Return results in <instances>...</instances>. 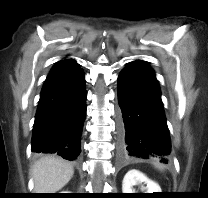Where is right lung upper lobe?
<instances>
[{"label":"right lung upper lobe","mask_w":208,"mask_h":198,"mask_svg":"<svg viewBox=\"0 0 208 198\" xmlns=\"http://www.w3.org/2000/svg\"><path fill=\"white\" fill-rule=\"evenodd\" d=\"M70 61H72V60H71V59L61 60V61L57 62V63L54 65V68H56V67H58V66H60V65H62V64H64V63L70 62ZM54 68H53V69H54Z\"/></svg>","instance_id":"obj_1"}]
</instances>
